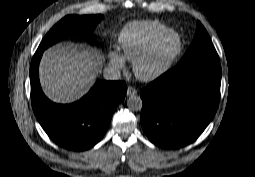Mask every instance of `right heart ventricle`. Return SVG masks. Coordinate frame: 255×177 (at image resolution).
<instances>
[{
    "mask_svg": "<svg viewBox=\"0 0 255 177\" xmlns=\"http://www.w3.org/2000/svg\"><path fill=\"white\" fill-rule=\"evenodd\" d=\"M167 26L159 21H135L128 23L119 35V43L125 57L133 61L141 51Z\"/></svg>",
    "mask_w": 255,
    "mask_h": 177,
    "instance_id": "obj_1",
    "label": "right heart ventricle"
}]
</instances>
